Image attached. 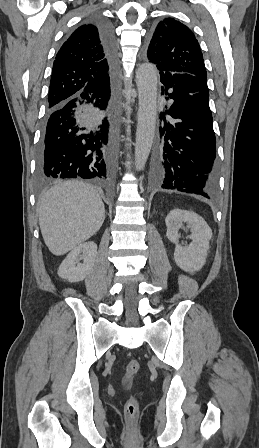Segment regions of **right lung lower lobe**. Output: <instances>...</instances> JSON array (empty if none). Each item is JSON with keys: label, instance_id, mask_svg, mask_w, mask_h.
<instances>
[{"label": "right lung lower lobe", "instance_id": "98d812e1", "mask_svg": "<svg viewBox=\"0 0 259 448\" xmlns=\"http://www.w3.org/2000/svg\"><path fill=\"white\" fill-rule=\"evenodd\" d=\"M106 59L110 84L47 107L37 151V178L107 179L114 157L116 118L112 78L116 42L110 23L94 19Z\"/></svg>", "mask_w": 259, "mask_h": 448}]
</instances>
